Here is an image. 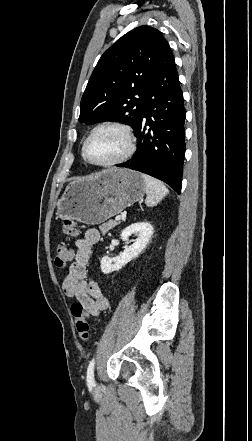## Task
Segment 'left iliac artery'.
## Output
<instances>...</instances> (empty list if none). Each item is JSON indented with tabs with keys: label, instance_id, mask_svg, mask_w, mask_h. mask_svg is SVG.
<instances>
[{
	"label": "left iliac artery",
	"instance_id": "obj_1",
	"mask_svg": "<svg viewBox=\"0 0 252 441\" xmlns=\"http://www.w3.org/2000/svg\"><path fill=\"white\" fill-rule=\"evenodd\" d=\"M94 365H95V359L93 358L90 363L89 366L87 368V383L88 384H95L94 381Z\"/></svg>",
	"mask_w": 252,
	"mask_h": 441
}]
</instances>
